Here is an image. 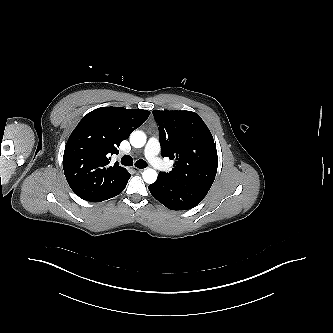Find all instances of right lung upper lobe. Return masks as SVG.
<instances>
[{"label":"right lung upper lobe","mask_w":333,"mask_h":333,"mask_svg":"<svg viewBox=\"0 0 333 333\" xmlns=\"http://www.w3.org/2000/svg\"><path fill=\"white\" fill-rule=\"evenodd\" d=\"M150 112L101 107L85 115L71 133L64 150L63 169L71 189L82 199L101 202L115 195L130 175L110 155L121 141L140 127Z\"/></svg>","instance_id":"obj_1"}]
</instances>
